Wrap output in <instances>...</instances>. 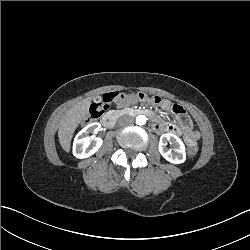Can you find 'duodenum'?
Masks as SVG:
<instances>
[{
    "instance_id": "1",
    "label": "duodenum",
    "mask_w": 250,
    "mask_h": 250,
    "mask_svg": "<svg viewBox=\"0 0 250 250\" xmlns=\"http://www.w3.org/2000/svg\"><path fill=\"white\" fill-rule=\"evenodd\" d=\"M129 113L133 116H137V115H149L147 111H145L142 108H136L133 110H130ZM119 115V113L117 112H111L108 113L102 120V125L106 128V129H111L114 126L116 117ZM186 128V127H185Z\"/></svg>"
}]
</instances>
